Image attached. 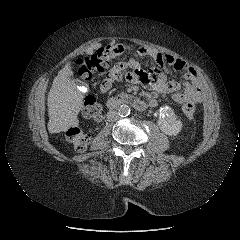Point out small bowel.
<instances>
[{
  "label": "small bowel",
  "mask_w": 240,
  "mask_h": 240,
  "mask_svg": "<svg viewBox=\"0 0 240 240\" xmlns=\"http://www.w3.org/2000/svg\"><path fill=\"white\" fill-rule=\"evenodd\" d=\"M137 57L152 58L159 68L145 70ZM137 57H130L111 68L100 85V91L103 93L108 92L115 81L125 78L132 84H142L153 88L159 93H172V99L179 104L188 102L199 104L202 101L198 75L186 62L170 54H162L149 47H140L137 50ZM166 66H172L176 70L184 71L182 80L180 82L167 80ZM127 69H130V71H126ZM181 89L182 91H180ZM149 105L151 107L157 105L155 97L150 99Z\"/></svg>",
  "instance_id": "obj_1"
}]
</instances>
